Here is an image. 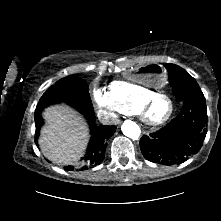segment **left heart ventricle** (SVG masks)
<instances>
[{
	"mask_svg": "<svg viewBox=\"0 0 221 221\" xmlns=\"http://www.w3.org/2000/svg\"><path fill=\"white\" fill-rule=\"evenodd\" d=\"M170 111V103L164 98L157 99L149 108L148 116L152 120H158L165 117Z\"/></svg>",
	"mask_w": 221,
	"mask_h": 221,
	"instance_id": "1",
	"label": "left heart ventricle"
}]
</instances>
